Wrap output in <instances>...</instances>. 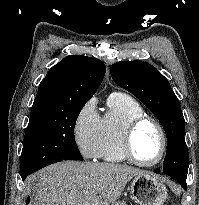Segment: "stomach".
<instances>
[{
	"instance_id": "1",
	"label": "stomach",
	"mask_w": 199,
	"mask_h": 205,
	"mask_svg": "<svg viewBox=\"0 0 199 205\" xmlns=\"http://www.w3.org/2000/svg\"><path fill=\"white\" fill-rule=\"evenodd\" d=\"M130 193L131 198L139 205H162L168 195L164 183L147 173L134 177ZM112 205H126V202L118 201Z\"/></svg>"
}]
</instances>
